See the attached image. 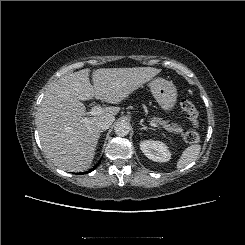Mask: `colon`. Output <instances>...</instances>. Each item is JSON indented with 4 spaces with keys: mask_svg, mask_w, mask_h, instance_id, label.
<instances>
[{
    "mask_svg": "<svg viewBox=\"0 0 245 245\" xmlns=\"http://www.w3.org/2000/svg\"><path fill=\"white\" fill-rule=\"evenodd\" d=\"M180 108L186 114L191 128L186 132L184 139L187 143H197L200 139L199 133V114L195 105L188 99L180 101Z\"/></svg>",
    "mask_w": 245,
    "mask_h": 245,
    "instance_id": "5ec220e1",
    "label": "colon"
}]
</instances>
